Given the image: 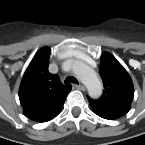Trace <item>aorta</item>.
<instances>
[{"label":"aorta","instance_id":"762f6f07","mask_svg":"<svg viewBox=\"0 0 145 145\" xmlns=\"http://www.w3.org/2000/svg\"><path fill=\"white\" fill-rule=\"evenodd\" d=\"M74 72L87 87L89 95L98 98L102 94V83L96 72L88 65L75 62Z\"/></svg>","mask_w":145,"mask_h":145}]
</instances>
